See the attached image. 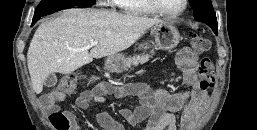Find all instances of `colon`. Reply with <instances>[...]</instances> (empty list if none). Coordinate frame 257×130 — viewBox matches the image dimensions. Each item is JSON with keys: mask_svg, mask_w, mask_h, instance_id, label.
Masks as SVG:
<instances>
[{"mask_svg": "<svg viewBox=\"0 0 257 130\" xmlns=\"http://www.w3.org/2000/svg\"><path fill=\"white\" fill-rule=\"evenodd\" d=\"M190 42L193 50L197 53H202L209 48V41L199 35L192 34ZM200 88L203 91L211 89L215 81V70L213 62L208 57H203L200 60L199 68ZM81 80V74L76 72L64 76L58 83L55 91L63 94H72L76 92ZM50 121L56 130H70V118L61 111H55L50 115Z\"/></svg>", "mask_w": 257, "mask_h": 130, "instance_id": "obj_1", "label": "colon"}]
</instances>
